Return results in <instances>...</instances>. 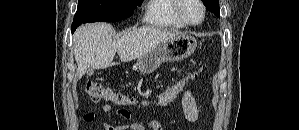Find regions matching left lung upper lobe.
Segmentation results:
<instances>
[{"label":"left lung upper lobe","mask_w":299,"mask_h":130,"mask_svg":"<svg viewBox=\"0 0 299 130\" xmlns=\"http://www.w3.org/2000/svg\"><path fill=\"white\" fill-rule=\"evenodd\" d=\"M202 2L209 11L216 14L217 17H220L218 0H202Z\"/></svg>","instance_id":"1"}]
</instances>
